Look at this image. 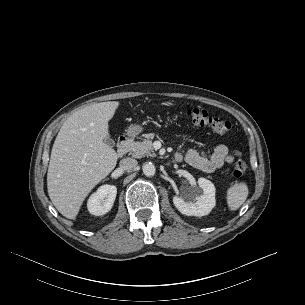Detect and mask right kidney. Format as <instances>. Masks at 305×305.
I'll use <instances>...</instances> for the list:
<instances>
[{"instance_id":"ca27d5eb","label":"right kidney","mask_w":305,"mask_h":305,"mask_svg":"<svg viewBox=\"0 0 305 305\" xmlns=\"http://www.w3.org/2000/svg\"><path fill=\"white\" fill-rule=\"evenodd\" d=\"M117 194V188L114 185H103L93 193L87 202L88 211L96 216L104 215L109 212L113 206Z\"/></svg>"}]
</instances>
